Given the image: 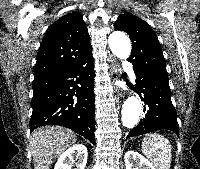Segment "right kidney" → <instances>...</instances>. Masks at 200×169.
Segmentation results:
<instances>
[{
	"mask_svg": "<svg viewBox=\"0 0 200 169\" xmlns=\"http://www.w3.org/2000/svg\"><path fill=\"white\" fill-rule=\"evenodd\" d=\"M88 152L83 144H76L66 150L58 158L54 169H71L74 159L77 169H85Z\"/></svg>",
	"mask_w": 200,
	"mask_h": 169,
	"instance_id": "ca27d5eb",
	"label": "right kidney"
}]
</instances>
